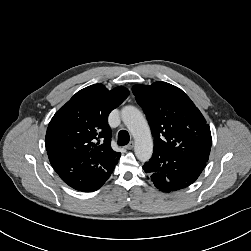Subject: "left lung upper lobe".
Segmentation results:
<instances>
[{
  "mask_svg": "<svg viewBox=\"0 0 251 251\" xmlns=\"http://www.w3.org/2000/svg\"><path fill=\"white\" fill-rule=\"evenodd\" d=\"M132 91L143 108L154 138V151L208 161L211 132L201 112L179 88L165 82L134 85Z\"/></svg>",
  "mask_w": 251,
  "mask_h": 251,
  "instance_id": "1",
  "label": "left lung upper lobe"
}]
</instances>
